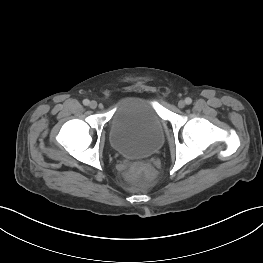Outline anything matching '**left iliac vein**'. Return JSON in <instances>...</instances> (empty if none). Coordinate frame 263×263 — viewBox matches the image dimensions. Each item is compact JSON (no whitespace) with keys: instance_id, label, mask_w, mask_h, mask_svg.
Here are the masks:
<instances>
[{"instance_id":"1","label":"left iliac vein","mask_w":263,"mask_h":263,"mask_svg":"<svg viewBox=\"0 0 263 263\" xmlns=\"http://www.w3.org/2000/svg\"><path fill=\"white\" fill-rule=\"evenodd\" d=\"M185 105H186V103H185L184 100H180V101L178 102V107H179V108H184Z\"/></svg>"}]
</instances>
